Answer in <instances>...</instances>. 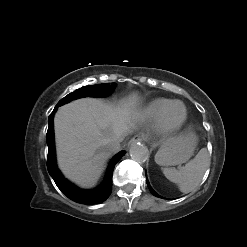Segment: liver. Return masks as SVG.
Listing matches in <instances>:
<instances>
[{
  "instance_id": "obj_1",
  "label": "liver",
  "mask_w": 247,
  "mask_h": 247,
  "mask_svg": "<svg viewBox=\"0 0 247 247\" xmlns=\"http://www.w3.org/2000/svg\"><path fill=\"white\" fill-rule=\"evenodd\" d=\"M138 94L119 106L82 98L59 108L54 118L57 160L63 174L81 187H92L111 156L106 146L123 140L136 115Z\"/></svg>"
}]
</instances>
